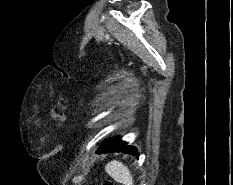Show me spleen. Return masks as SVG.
<instances>
[{"instance_id": "spleen-1", "label": "spleen", "mask_w": 233, "mask_h": 185, "mask_svg": "<svg viewBox=\"0 0 233 185\" xmlns=\"http://www.w3.org/2000/svg\"><path fill=\"white\" fill-rule=\"evenodd\" d=\"M105 171L111 176L116 182L124 185H133V176L130 170L122 162L113 160L106 164Z\"/></svg>"}]
</instances>
